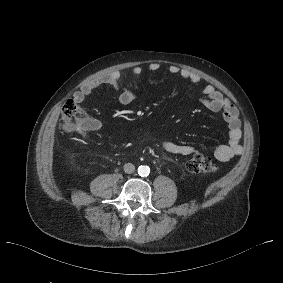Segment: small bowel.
I'll list each match as a JSON object with an SVG mask.
<instances>
[{"instance_id":"small-bowel-1","label":"small bowel","mask_w":283,"mask_h":283,"mask_svg":"<svg viewBox=\"0 0 283 283\" xmlns=\"http://www.w3.org/2000/svg\"><path fill=\"white\" fill-rule=\"evenodd\" d=\"M148 69L150 71H157L159 69V64L151 63ZM142 72V68L138 66L133 67L130 70V73L133 76H139L142 74ZM169 73L172 75H178L182 79L188 80L196 85L201 83V77L198 74L175 65L169 67ZM123 76L124 72L122 71H114L98 76L85 83L81 89L73 95V101L76 104H79L83 102L85 98L89 96L97 87L101 85H110L119 93V103L123 106H128L135 101L136 95L130 88L121 84ZM201 103L207 109L213 112H220L228 126V143L219 145L214 149L213 153L216 159L225 162L242 154L243 147L241 145V122L239 119V111L235 104L211 84L203 86ZM90 127L91 129L95 130L99 127V123L97 121H93ZM161 146L166 152L172 154L193 155L197 153V149L194 146L178 144L170 140H162Z\"/></svg>"}]
</instances>
